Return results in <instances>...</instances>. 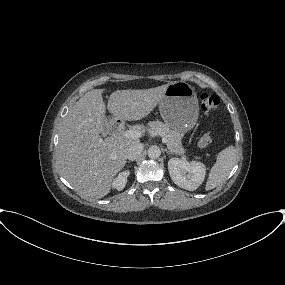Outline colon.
Here are the masks:
<instances>
[{"mask_svg": "<svg viewBox=\"0 0 285 285\" xmlns=\"http://www.w3.org/2000/svg\"><path fill=\"white\" fill-rule=\"evenodd\" d=\"M201 110L204 114H210L218 109L220 99L217 95L203 93L200 97ZM213 141V136L210 132H203L199 138L200 147H208Z\"/></svg>", "mask_w": 285, "mask_h": 285, "instance_id": "obj_1", "label": "colon"}]
</instances>
